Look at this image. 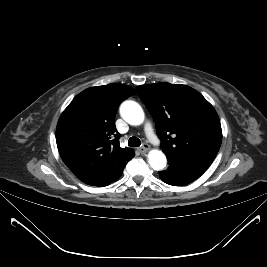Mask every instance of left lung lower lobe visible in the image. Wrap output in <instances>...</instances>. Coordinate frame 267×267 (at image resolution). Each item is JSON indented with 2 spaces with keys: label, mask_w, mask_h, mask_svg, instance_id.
I'll use <instances>...</instances> for the list:
<instances>
[{
  "label": "left lung lower lobe",
  "mask_w": 267,
  "mask_h": 267,
  "mask_svg": "<svg viewBox=\"0 0 267 267\" xmlns=\"http://www.w3.org/2000/svg\"><path fill=\"white\" fill-rule=\"evenodd\" d=\"M169 167L165 171H159V177L165 183L174 186H183L199 178L206 169L182 162L175 157L168 156Z\"/></svg>",
  "instance_id": "1"
}]
</instances>
